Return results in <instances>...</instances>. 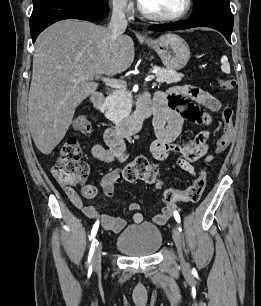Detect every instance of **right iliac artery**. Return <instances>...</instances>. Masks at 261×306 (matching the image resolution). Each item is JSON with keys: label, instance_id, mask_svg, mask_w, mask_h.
<instances>
[{"label": "right iliac artery", "instance_id": "obj_1", "mask_svg": "<svg viewBox=\"0 0 261 306\" xmlns=\"http://www.w3.org/2000/svg\"><path fill=\"white\" fill-rule=\"evenodd\" d=\"M99 228V221H96L95 224L93 225V228L91 230V235H90V240L92 241L91 247H90V251H89V256H88V264L90 265L92 262V257L95 251V246L97 245V240L95 239V236L97 234ZM91 268V266H90Z\"/></svg>", "mask_w": 261, "mask_h": 306}]
</instances>
